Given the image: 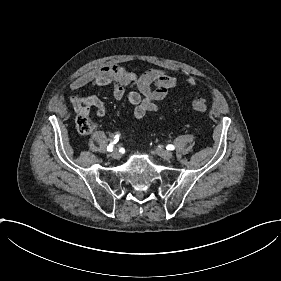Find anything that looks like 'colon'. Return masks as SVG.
<instances>
[{"label": "colon", "mask_w": 281, "mask_h": 281, "mask_svg": "<svg viewBox=\"0 0 281 281\" xmlns=\"http://www.w3.org/2000/svg\"><path fill=\"white\" fill-rule=\"evenodd\" d=\"M209 102L205 99H196L192 102V110L198 114H205L209 111ZM77 129L81 133H88L92 129V123L87 118H79L77 120Z\"/></svg>", "instance_id": "obj_1"}]
</instances>
